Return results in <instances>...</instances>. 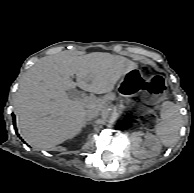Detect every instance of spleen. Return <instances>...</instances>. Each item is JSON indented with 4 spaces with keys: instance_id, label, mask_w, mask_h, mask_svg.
<instances>
[{
    "instance_id": "obj_1",
    "label": "spleen",
    "mask_w": 194,
    "mask_h": 193,
    "mask_svg": "<svg viewBox=\"0 0 194 193\" xmlns=\"http://www.w3.org/2000/svg\"><path fill=\"white\" fill-rule=\"evenodd\" d=\"M179 106L172 101H164L161 105V120L156 125L155 131L160 142L169 147L178 140L179 131L182 125Z\"/></svg>"
}]
</instances>
